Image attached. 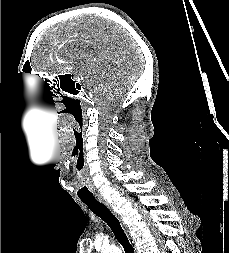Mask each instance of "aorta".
Wrapping results in <instances>:
<instances>
[{"label":"aorta","mask_w":229,"mask_h":253,"mask_svg":"<svg viewBox=\"0 0 229 253\" xmlns=\"http://www.w3.org/2000/svg\"><path fill=\"white\" fill-rule=\"evenodd\" d=\"M101 253H122V251L117 246H110L103 248Z\"/></svg>","instance_id":"obj_1"}]
</instances>
